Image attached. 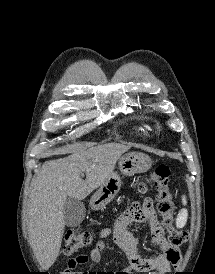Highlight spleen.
Listing matches in <instances>:
<instances>
[{"label": "spleen", "mask_w": 215, "mask_h": 274, "mask_svg": "<svg viewBox=\"0 0 215 274\" xmlns=\"http://www.w3.org/2000/svg\"><path fill=\"white\" fill-rule=\"evenodd\" d=\"M182 202H183L184 205L186 204L185 196L182 197ZM186 220H187V210L183 209V210L180 211V213L177 216L176 226L178 228L183 227L186 223Z\"/></svg>", "instance_id": "obj_1"}]
</instances>
